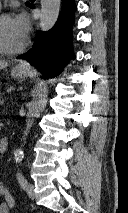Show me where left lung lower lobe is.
I'll return each instance as SVG.
<instances>
[{"label": "left lung lower lobe", "mask_w": 128, "mask_h": 213, "mask_svg": "<svg viewBox=\"0 0 128 213\" xmlns=\"http://www.w3.org/2000/svg\"><path fill=\"white\" fill-rule=\"evenodd\" d=\"M30 8L34 5L29 4ZM77 6L74 0H62L60 17L55 26L47 31H39L34 46L27 53L18 56L34 64L46 76L58 75L72 54V25Z\"/></svg>", "instance_id": "0a47b994"}]
</instances>
